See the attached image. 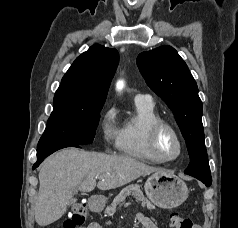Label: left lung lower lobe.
Returning a JSON list of instances; mask_svg holds the SVG:
<instances>
[{"label":"left lung lower lobe","mask_w":238,"mask_h":228,"mask_svg":"<svg viewBox=\"0 0 238 228\" xmlns=\"http://www.w3.org/2000/svg\"><path fill=\"white\" fill-rule=\"evenodd\" d=\"M184 173H186V172H184ZM186 174L191 175V176L199 179L200 181H202L208 187L211 185V182H212L211 177H208V176H205V175H200V174H195V173H186Z\"/></svg>","instance_id":"1"}]
</instances>
